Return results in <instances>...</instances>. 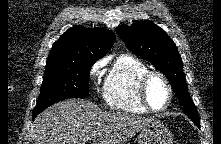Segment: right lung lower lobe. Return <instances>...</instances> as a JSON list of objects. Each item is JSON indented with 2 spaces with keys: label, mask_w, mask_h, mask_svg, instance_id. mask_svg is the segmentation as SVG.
Wrapping results in <instances>:
<instances>
[{
  "label": "right lung lower lobe",
  "mask_w": 221,
  "mask_h": 144,
  "mask_svg": "<svg viewBox=\"0 0 221 144\" xmlns=\"http://www.w3.org/2000/svg\"><path fill=\"white\" fill-rule=\"evenodd\" d=\"M37 115H33V119L36 117Z\"/></svg>",
  "instance_id": "1"
}]
</instances>
